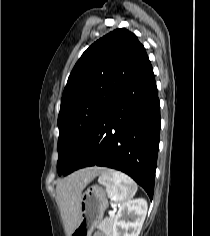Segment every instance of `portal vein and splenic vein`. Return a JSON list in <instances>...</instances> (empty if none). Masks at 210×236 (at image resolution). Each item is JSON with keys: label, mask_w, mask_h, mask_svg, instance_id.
<instances>
[{"label": "portal vein and splenic vein", "mask_w": 210, "mask_h": 236, "mask_svg": "<svg viewBox=\"0 0 210 236\" xmlns=\"http://www.w3.org/2000/svg\"><path fill=\"white\" fill-rule=\"evenodd\" d=\"M114 214H115V207H114V210H113V211H110V212H109V215H110V216H113Z\"/></svg>", "instance_id": "portal-vein-and-splenic-vein-1"}]
</instances>
